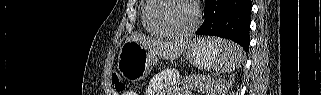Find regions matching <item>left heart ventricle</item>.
Instances as JSON below:
<instances>
[{
    "label": "left heart ventricle",
    "instance_id": "b2bd125f",
    "mask_svg": "<svg viewBox=\"0 0 321 95\" xmlns=\"http://www.w3.org/2000/svg\"><path fill=\"white\" fill-rule=\"evenodd\" d=\"M152 15L159 25L178 31L188 29L194 19L192 7L183 0L161 1Z\"/></svg>",
    "mask_w": 321,
    "mask_h": 95
}]
</instances>
